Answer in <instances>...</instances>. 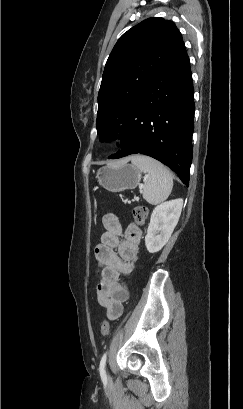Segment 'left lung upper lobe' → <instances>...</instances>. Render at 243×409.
I'll list each match as a JSON object with an SVG mask.
<instances>
[{
	"label": "left lung upper lobe",
	"instance_id": "obj_1",
	"mask_svg": "<svg viewBox=\"0 0 243 409\" xmlns=\"http://www.w3.org/2000/svg\"><path fill=\"white\" fill-rule=\"evenodd\" d=\"M182 41L174 22L160 17L142 21L119 38L106 62L98 93L100 141L111 140L117 132L123 138L150 81Z\"/></svg>",
	"mask_w": 243,
	"mask_h": 409
}]
</instances>
